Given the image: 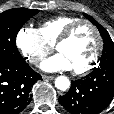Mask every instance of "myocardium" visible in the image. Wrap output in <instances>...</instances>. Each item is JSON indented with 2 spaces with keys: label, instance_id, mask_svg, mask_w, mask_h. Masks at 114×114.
<instances>
[{
  "label": "myocardium",
  "instance_id": "obj_1",
  "mask_svg": "<svg viewBox=\"0 0 114 114\" xmlns=\"http://www.w3.org/2000/svg\"><path fill=\"white\" fill-rule=\"evenodd\" d=\"M82 25H86V26L90 27L92 29V31L94 32L96 39H97V48H96V51H95V54H94L92 60L86 66H84L83 68H80V69L73 70L74 74H76V75L88 74L89 72L94 70L96 68V66L98 65L101 55H102L103 48H104L103 37H102L99 29L91 21L86 20V19H80V20L72 23L71 25H69L63 31V33L59 36V38L57 39V41L55 43V49L58 51V47L62 43L68 41L73 36L74 32Z\"/></svg>",
  "mask_w": 114,
  "mask_h": 114
}]
</instances>
